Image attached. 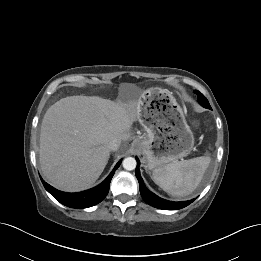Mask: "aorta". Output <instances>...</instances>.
<instances>
[{
  "mask_svg": "<svg viewBox=\"0 0 261 261\" xmlns=\"http://www.w3.org/2000/svg\"><path fill=\"white\" fill-rule=\"evenodd\" d=\"M122 164H123V168L128 170V171L134 170L136 168V165H137L136 160L133 157L125 158L123 160Z\"/></svg>",
  "mask_w": 261,
  "mask_h": 261,
  "instance_id": "aorta-1",
  "label": "aorta"
}]
</instances>
